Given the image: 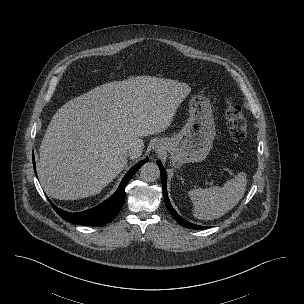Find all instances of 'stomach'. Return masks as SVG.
<instances>
[{
	"label": "stomach",
	"mask_w": 304,
	"mask_h": 304,
	"mask_svg": "<svg viewBox=\"0 0 304 304\" xmlns=\"http://www.w3.org/2000/svg\"><path fill=\"white\" fill-rule=\"evenodd\" d=\"M189 112L188 121L179 133L160 140V147L170 153L173 165L203 161L212 148L215 123L209 99L193 96Z\"/></svg>",
	"instance_id": "1"
}]
</instances>
